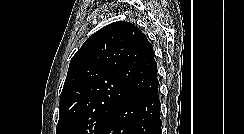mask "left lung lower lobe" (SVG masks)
Returning <instances> with one entry per match:
<instances>
[{
    "label": "left lung lower lobe",
    "mask_w": 244,
    "mask_h": 134,
    "mask_svg": "<svg viewBox=\"0 0 244 134\" xmlns=\"http://www.w3.org/2000/svg\"><path fill=\"white\" fill-rule=\"evenodd\" d=\"M158 88L135 95L111 114L100 134H160Z\"/></svg>",
    "instance_id": "1"
}]
</instances>
